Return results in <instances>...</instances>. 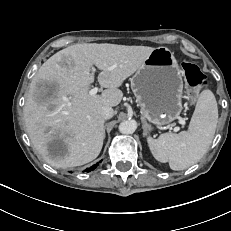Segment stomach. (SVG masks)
I'll use <instances>...</instances> for the list:
<instances>
[{
    "instance_id": "0dacf381",
    "label": "stomach",
    "mask_w": 231,
    "mask_h": 231,
    "mask_svg": "<svg viewBox=\"0 0 231 231\" xmlns=\"http://www.w3.org/2000/svg\"><path fill=\"white\" fill-rule=\"evenodd\" d=\"M142 115L154 125H166L183 110V81L174 53L166 47L151 52L130 79Z\"/></svg>"
}]
</instances>
